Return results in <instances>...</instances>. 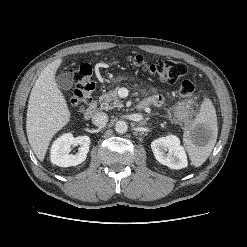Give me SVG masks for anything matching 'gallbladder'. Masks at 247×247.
Returning a JSON list of instances; mask_svg holds the SVG:
<instances>
[{"label":"gallbladder","instance_id":"obj_1","mask_svg":"<svg viewBox=\"0 0 247 247\" xmlns=\"http://www.w3.org/2000/svg\"><path fill=\"white\" fill-rule=\"evenodd\" d=\"M56 83L61 90L68 91L73 87L74 80L71 74L63 72L57 76Z\"/></svg>","mask_w":247,"mask_h":247}]
</instances>
